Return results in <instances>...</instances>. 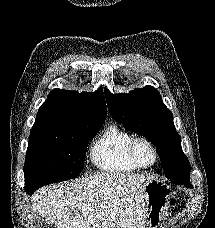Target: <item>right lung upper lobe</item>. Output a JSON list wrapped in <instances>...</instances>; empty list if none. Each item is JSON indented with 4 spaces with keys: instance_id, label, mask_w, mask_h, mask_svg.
<instances>
[{
    "instance_id": "cb5924a9",
    "label": "right lung upper lobe",
    "mask_w": 215,
    "mask_h": 228,
    "mask_svg": "<svg viewBox=\"0 0 215 228\" xmlns=\"http://www.w3.org/2000/svg\"><path fill=\"white\" fill-rule=\"evenodd\" d=\"M106 115L102 88L82 93L54 89L39 108L31 133L67 125L103 123Z\"/></svg>"
}]
</instances>
